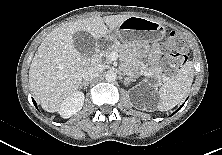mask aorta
Returning a JSON list of instances; mask_svg holds the SVG:
<instances>
[{"label":"aorta","mask_w":222,"mask_h":155,"mask_svg":"<svg viewBox=\"0 0 222 155\" xmlns=\"http://www.w3.org/2000/svg\"><path fill=\"white\" fill-rule=\"evenodd\" d=\"M105 79L107 82H114L117 79V74L114 71H107Z\"/></svg>","instance_id":"aorta-1"}]
</instances>
